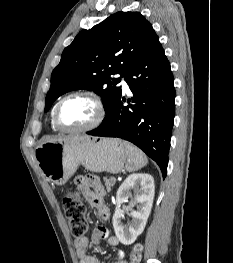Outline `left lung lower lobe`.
<instances>
[{
	"label": "left lung lower lobe",
	"instance_id": "left-lung-lower-lobe-1",
	"mask_svg": "<svg viewBox=\"0 0 233 263\" xmlns=\"http://www.w3.org/2000/svg\"><path fill=\"white\" fill-rule=\"evenodd\" d=\"M133 97L122 96L102 124L87 132L132 142L160 167L166 177L168 152L175 115V88L170 63L158 36L125 75Z\"/></svg>",
	"mask_w": 233,
	"mask_h": 263
}]
</instances>
